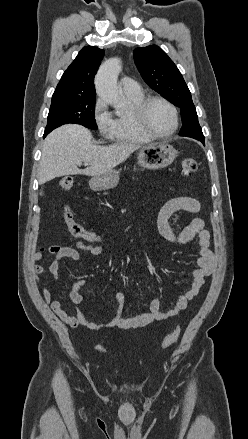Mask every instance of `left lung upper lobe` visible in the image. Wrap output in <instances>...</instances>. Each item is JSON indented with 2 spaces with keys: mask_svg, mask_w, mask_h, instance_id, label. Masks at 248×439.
<instances>
[{
  "mask_svg": "<svg viewBox=\"0 0 248 439\" xmlns=\"http://www.w3.org/2000/svg\"><path fill=\"white\" fill-rule=\"evenodd\" d=\"M135 64L144 81L162 97L181 110L180 136L204 143L191 93L176 65L158 46L151 45L134 50Z\"/></svg>",
  "mask_w": 248,
  "mask_h": 439,
  "instance_id": "left-lung-upper-lobe-1",
  "label": "left lung upper lobe"
}]
</instances>
